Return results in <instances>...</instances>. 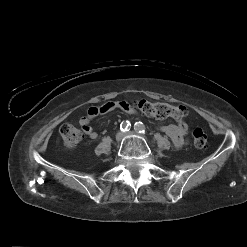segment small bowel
<instances>
[{
	"label": "small bowel",
	"instance_id": "c3829d8e",
	"mask_svg": "<svg viewBox=\"0 0 247 247\" xmlns=\"http://www.w3.org/2000/svg\"><path fill=\"white\" fill-rule=\"evenodd\" d=\"M114 109H120L127 114H135V109L127 102H107L101 106L90 107L87 114L80 118L79 124L83 132L91 139H96L98 134L90 126V122L97 116L105 114ZM160 130L170 137L176 147H182L186 144L188 136V125L178 120L177 124H169L160 127Z\"/></svg>",
	"mask_w": 247,
	"mask_h": 247
}]
</instances>
